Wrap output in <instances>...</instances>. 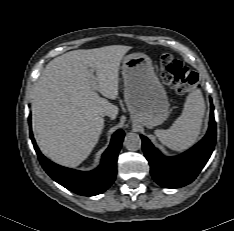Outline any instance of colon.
<instances>
[{
	"mask_svg": "<svg viewBox=\"0 0 234 231\" xmlns=\"http://www.w3.org/2000/svg\"><path fill=\"white\" fill-rule=\"evenodd\" d=\"M159 73L162 81L179 94H187L198 85L197 74L170 54L161 56Z\"/></svg>",
	"mask_w": 234,
	"mask_h": 231,
	"instance_id": "colon-1",
	"label": "colon"
}]
</instances>
